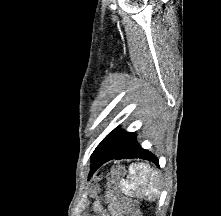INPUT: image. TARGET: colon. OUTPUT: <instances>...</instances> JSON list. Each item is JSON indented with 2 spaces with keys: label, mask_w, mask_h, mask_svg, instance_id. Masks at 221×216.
Segmentation results:
<instances>
[{
  "label": "colon",
  "mask_w": 221,
  "mask_h": 216,
  "mask_svg": "<svg viewBox=\"0 0 221 216\" xmlns=\"http://www.w3.org/2000/svg\"><path fill=\"white\" fill-rule=\"evenodd\" d=\"M108 192L109 196L117 204L122 216H141L139 212V205L135 200L118 194V187L114 178H111L109 181Z\"/></svg>",
  "instance_id": "1"
}]
</instances>
